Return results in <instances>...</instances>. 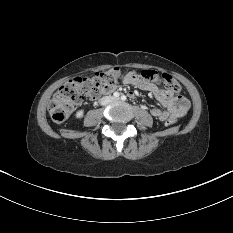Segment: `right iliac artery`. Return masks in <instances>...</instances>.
Here are the masks:
<instances>
[{"label":"right iliac artery","instance_id":"82829eb1","mask_svg":"<svg viewBox=\"0 0 233 233\" xmlns=\"http://www.w3.org/2000/svg\"><path fill=\"white\" fill-rule=\"evenodd\" d=\"M119 93L118 92H115L114 94H113V96L115 97V98H118L119 97Z\"/></svg>","mask_w":233,"mask_h":233}]
</instances>
